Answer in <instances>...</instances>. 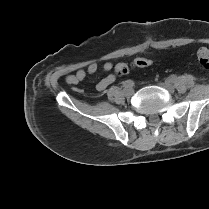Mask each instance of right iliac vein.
<instances>
[{
  "label": "right iliac vein",
  "mask_w": 209,
  "mask_h": 209,
  "mask_svg": "<svg viewBox=\"0 0 209 209\" xmlns=\"http://www.w3.org/2000/svg\"><path fill=\"white\" fill-rule=\"evenodd\" d=\"M131 93V91L130 90H127V94H130Z\"/></svg>",
  "instance_id": "63e3f726"
}]
</instances>
